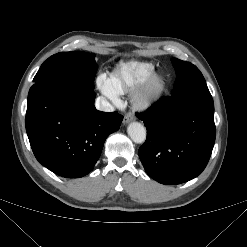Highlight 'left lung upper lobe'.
Masks as SVG:
<instances>
[{"label":"left lung upper lobe","mask_w":247,"mask_h":247,"mask_svg":"<svg viewBox=\"0 0 247 247\" xmlns=\"http://www.w3.org/2000/svg\"><path fill=\"white\" fill-rule=\"evenodd\" d=\"M171 61L177 76L171 96L208 90L203 75L196 66L176 58Z\"/></svg>","instance_id":"obj_1"}]
</instances>
